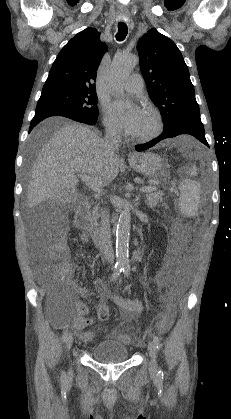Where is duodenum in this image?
Wrapping results in <instances>:
<instances>
[{
  "instance_id": "duodenum-1",
  "label": "duodenum",
  "mask_w": 231,
  "mask_h": 419,
  "mask_svg": "<svg viewBox=\"0 0 231 419\" xmlns=\"http://www.w3.org/2000/svg\"><path fill=\"white\" fill-rule=\"evenodd\" d=\"M75 221L82 230L84 238L93 239L96 243L100 242L102 232L91 216L89 200L80 203L76 210Z\"/></svg>"
}]
</instances>
